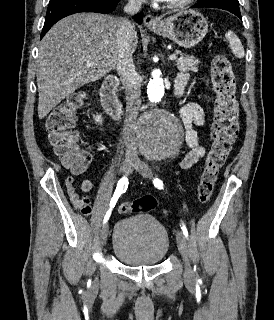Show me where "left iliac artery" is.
<instances>
[{
  "label": "left iliac artery",
  "mask_w": 274,
  "mask_h": 320,
  "mask_svg": "<svg viewBox=\"0 0 274 320\" xmlns=\"http://www.w3.org/2000/svg\"><path fill=\"white\" fill-rule=\"evenodd\" d=\"M153 183H154V186H155L156 188H158V189H163V182H162L160 179L155 178V179L153 180ZM181 229H182L183 234L185 235V237L188 238V230H187V228H186V226H185L184 223H182Z\"/></svg>",
  "instance_id": "44dca946"
}]
</instances>
